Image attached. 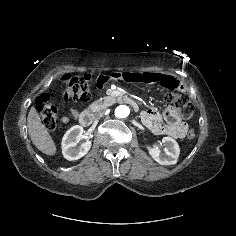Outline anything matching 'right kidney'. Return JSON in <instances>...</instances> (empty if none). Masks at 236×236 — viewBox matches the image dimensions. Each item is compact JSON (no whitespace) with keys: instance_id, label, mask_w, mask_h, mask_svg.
I'll use <instances>...</instances> for the list:
<instances>
[{"instance_id":"ca27d5eb","label":"right kidney","mask_w":236,"mask_h":236,"mask_svg":"<svg viewBox=\"0 0 236 236\" xmlns=\"http://www.w3.org/2000/svg\"><path fill=\"white\" fill-rule=\"evenodd\" d=\"M83 134V127L75 125L64 134L61 142L62 153L65 159L69 161L77 160L85 156L91 148L92 142L87 140L80 146H77L78 139Z\"/></svg>"}]
</instances>
